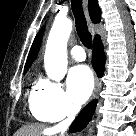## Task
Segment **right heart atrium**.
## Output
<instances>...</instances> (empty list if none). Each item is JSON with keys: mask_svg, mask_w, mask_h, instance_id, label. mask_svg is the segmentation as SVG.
<instances>
[{"mask_svg": "<svg viewBox=\"0 0 136 136\" xmlns=\"http://www.w3.org/2000/svg\"><path fill=\"white\" fill-rule=\"evenodd\" d=\"M36 104L49 121L61 120L73 114L77 109L62 86L48 79H42L37 84Z\"/></svg>", "mask_w": 136, "mask_h": 136, "instance_id": "d8ad5b80", "label": "right heart atrium"}]
</instances>
